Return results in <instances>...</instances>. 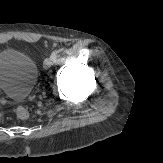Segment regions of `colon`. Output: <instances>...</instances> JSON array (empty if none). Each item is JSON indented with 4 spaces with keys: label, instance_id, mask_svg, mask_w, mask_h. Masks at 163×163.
Listing matches in <instances>:
<instances>
[{
    "label": "colon",
    "instance_id": "1",
    "mask_svg": "<svg viewBox=\"0 0 163 163\" xmlns=\"http://www.w3.org/2000/svg\"><path fill=\"white\" fill-rule=\"evenodd\" d=\"M15 115L17 116V118L19 119H26L29 116V111L27 108L23 107V106H18L15 109Z\"/></svg>",
    "mask_w": 163,
    "mask_h": 163
}]
</instances>
